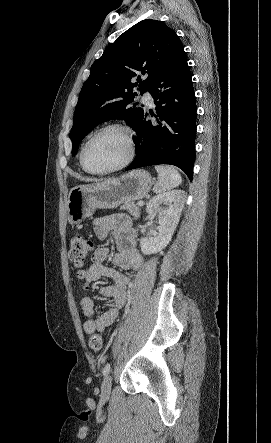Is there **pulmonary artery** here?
<instances>
[{
	"label": "pulmonary artery",
	"mask_w": 271,
	"mask_h": 443,
	"mask_svg": "<svg viewBox=\"0 0 271 443\" xmlns=\"http://www.w3.org/2000/svg\"><path fill=\"white\" fill-rule=\"evenodd\" d=\"M142 101L149 107L155 106L154 98H153L152 94L149 92L144 93V95L142 96Z\"/></svg>",
	"instance_id": "obj_1"
}]
</instances>
